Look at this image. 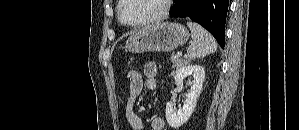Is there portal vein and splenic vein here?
Returning <instances> with one entry per match:
<instances>
[{
	"label": "portal vein and splenic vein",
	"instance_id": "18ae733b",
	"mask_svg": "<svg viewBox=\"0 0 299 130\" xmlns=\"http://www.w3.org/2000/svg\"><path fill=\"white\" fill-rule=\"evenodd\" d=\"M177 56H179V57L182 56V52H178Z\"/></svg>",
	"mask_w": 299,
	"mask_h": 130
}]
</instances>
